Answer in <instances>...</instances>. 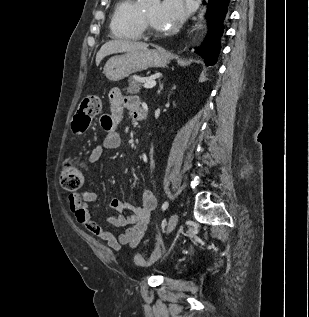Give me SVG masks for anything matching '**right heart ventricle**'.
<instances>
[{
    "label": "right heart ventricle",
    "instance_id": "e07e8e85",
    "mask_svg": "<svg viewBox=\"0 0 309 317\" xmlns=\"http://www.w3.org/2000/svg\"><path fill=\"white\" fill-rule=\"evenodd\" d=\"M110 28L120 39L138 40L143 37L141 10L137 0H119L115 6Z\"/></svg>",
    "mask_w": 309,
    "mask_h": 317
}]
</instances>
